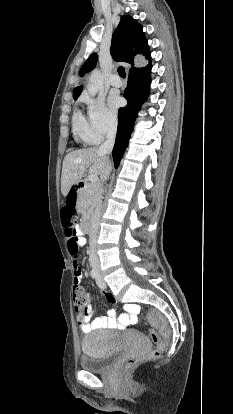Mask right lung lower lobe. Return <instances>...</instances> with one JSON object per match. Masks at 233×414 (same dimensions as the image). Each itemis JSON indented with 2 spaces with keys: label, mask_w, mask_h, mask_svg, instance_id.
<instances>
[{
  "label": "right lung lower lobe",
  "mask_w": 233,
  "mask_h": 414,
  "mask_svg": "<svg viewBox=\"0 0 233 414\" xmlns=\"http://www.w3.org/2000/svg\"><path fill=\"white\" fill-rule=\"evenodd\" d=\"M151 68L152 65L145 70L130 74L128 77L127 88L124 92L128 104L119 109L117 136L113 148V160L116 168L128 145L141 104L147 99L151 82Z\"/></svg>",
  "instance_id": "98d812e1"
}]
</instances>
